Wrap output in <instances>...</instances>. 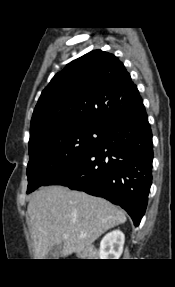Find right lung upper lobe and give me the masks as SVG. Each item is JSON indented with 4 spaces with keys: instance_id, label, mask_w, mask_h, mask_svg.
I'll use <instances>...</instances> for the list:
<instances>
[{
    "instance_id": "obj_1",
    "label": "right lung upper lobe",
    "mask_w": 175,
    "mask_h": 287,
    "mask_svg": "<svg viewBox=\"0 0 175 287\" xmlns=\"http://www.w3.org/2000/svg\"><path fill=\"white\" fill-rule=\"evenodd\" d=\"M142 103L123 63L113 54L91 51L67 64L42 91L29 144L79 125L104 126Z\"/></svg>"
}]
</instances>
